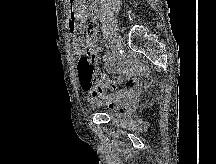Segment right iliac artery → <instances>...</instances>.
<instances>
[{"label":"right iliac artery","mask_w":216,"mask_h":164,"mask_svg":"<svg viewBox=\"0 0 216 164\" xmlns=\"http://www.w3.org/2000/svg\"><path fill=\"white\" fill-rule=\"evenodd\" d=\"M109 49H110V54H112L113 53V50H114V45H113V42H111L110 40H109V42H108V46H107Z\"/></svg>","instance_id":"obj_1"}]
</instances>
